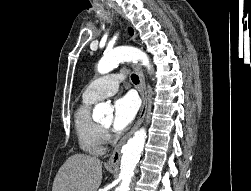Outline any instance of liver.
Segmentation results:
<instances>
[{
  "label": "liver",
  "mask_w": 251,
  "mask_h": 191,
  "mask_svg": "<svg viewBox=\"0 0 251 191\" xmlns=\"http://www.w3.org/2000/svg\"><path fill=\"white\" fill-rule=\"evenodd\" d=\"M101 181V159L86 153H75L57 171L52 191H97Z\"/></svg>",
  "instance_id": "obj_1"
}]
</instances>
